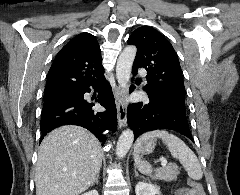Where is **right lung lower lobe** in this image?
<instances>
[{
	"label": "right lung lower lobe",
	"instance_id": "98d812e1",
	"mask_svg": "<svg viewBox=\"0 0 240 195\" xmlns=\"http://www.w3.org/2000/svg\"><path fill=\"white\" fill-rule=\"evenodd\" d=\"M90 87L99 91L95 102L84 100V94L91 91ZM95 103L106 108V111L97 112L94 110ZM68 124L88 129L102 142V145L107 139L104 132L107 130L116 131L117 110L111 86L105 77L99 82L77 91L57 92L44 98L40 121L42 133L40 142L54 128Z\"/></svg>",
	"mask_w": 240,
	"mask_h": 195
}]
</instances>
